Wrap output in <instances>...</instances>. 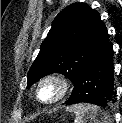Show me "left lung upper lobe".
Returning <instances> with one entry per match:
<instances>
[{
    "label": "left lung upper lobe",
    "instance_id": "5c2ea615",
    "mask_svg": "<svg viewBox=\"0 0 122 123\" xmlns=\"http://www.w3.org/2000/svg\"><path fill=\"white\" fill-rule=\"evenodd\" d=\"M100 14L86 3H74L62 10L41 44L28 73V85L50 73H62L74 82L90 58L108 41Z\"/></svg>",
    "mask_w": 122,
    "mask_h": 123
}]
</instances>
